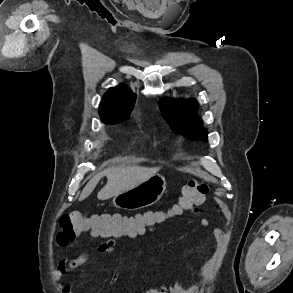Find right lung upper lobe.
Returning a JSON list of instances; mask_svg holds the SVG:
<instances>
[{
    "mask_svg": "<svg viewBox=\"0 0 293 293\" xmlns=\"http://www.w3.org/2000/svg\"><path fill=\"white\" fill-rule=\"evenodd\" d=\"M134 103L135 95L126 85L110 88L99 107L101 119L130 116Z\"/></svg>",
    "mask_w": 293,
    "mask_h": 293,
    "instance_id": "1",
    "label": "right lung upper lobe"
}]
</instances>
